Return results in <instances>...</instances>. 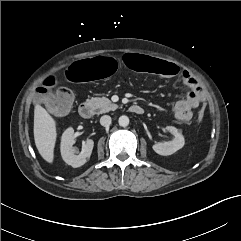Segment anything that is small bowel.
<instances>
[{"mask_svg":"<svg viewBox=\"0 0 241 241\" xmlns=\"http://www.w3.org/2000/svg\"><path fill=\"white\" fill-rule=\"evenodd\" d=\"M163 77L172 78L173 76ZM180 77L182 78L183 82L191 89V91L184 98L176 102L175 116L180 122L186 123L189 122L192 118V110L197 108L202 102L205 101L206 93L200 86L198 80L188 71L182 70Z\"/></svg>","mask_w":241,"mask_h":241,"instance_id":"1","label":"small bowel"}]
</instances>
